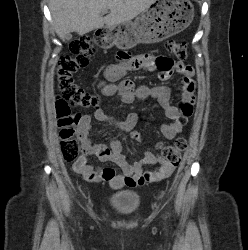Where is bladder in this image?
I'll list each match as a JSON object with an SVG mask.
<instances>
[{
    "instance_id": "obj_1",
    "label": "bladder",
    "mask_w": 248,
    "mask_h": 250,
    "mask_svg": "<svg viewBox=\"0 0 248 250\" xmlns=\"http://www.w3.org/2000/svg\"><path fill=\"white\" fill-rule=\"evenodd\" d=\"M141 197L134 190H121L113 192L109 198L111 209L120 214L135 212L140 207Z\"/></svg>"
}]
</instances>
